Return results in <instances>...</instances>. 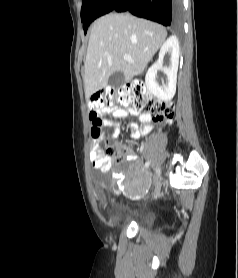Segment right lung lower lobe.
Wrapping results in <instances>:
<instances>
[{"label": "right lung lower lobe", "instance_id": "98d812e1", "mask_svg": "<svg viewBox=\"0 0 238 278\" xmlns=\"http://www.w3.org/2000/svg\"><path fill=\"white\" fill-rule=\"evenodd\" d=\"M111 11H129L164 26L178 27L182 21L181 0H101L91 11L89 23Z\"/></svg>", "mask_w": 238, "mask_h": 278}]
</instances>
